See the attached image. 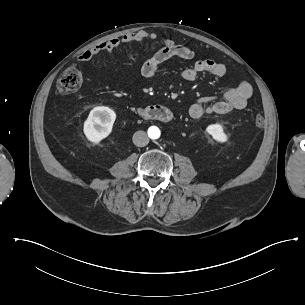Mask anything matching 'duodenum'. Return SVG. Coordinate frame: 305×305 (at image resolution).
Masks as SVG:
<instances>
[{"label":"duodenum","mask_w":305,"mask_h":305,"mask_svg":"<svg viewBox=\"0 0 305 305\" xmlns=\"http://www.w3.org/2000/svg\"><path fill=\"white\" fill-rule=\"evenodd\" d=\"M137 112L139 117L149 122L168 123L172 117L170 111L160 105L140 106Z\"/></svg>","instance_id":"obj_1"}]
</instances>
